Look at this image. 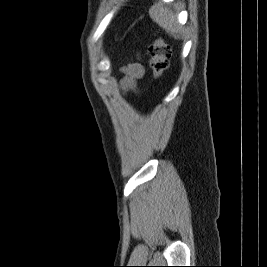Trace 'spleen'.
<instances>
[{"mask_svg":"<svg viewBox=\"0 0 267 267\" xmlns=\"http://www.w3.org/2000/svg\"><path fill=\"white\" fill-rule=\"evenodd\" d=\"M150 17L164 28L175 39H180L182 28L177 25L176 15L172 10L164 8L160 4H155L149 11Z\"/></svg>","mask_w":267,"mask_h":267,"instance_id":"1","label":"spleen"}]
</instances>
